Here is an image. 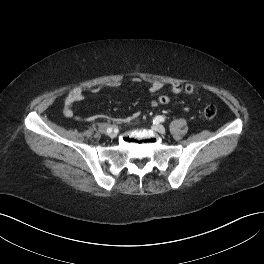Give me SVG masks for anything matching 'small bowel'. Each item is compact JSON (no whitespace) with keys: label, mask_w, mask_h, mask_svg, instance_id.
Returning <instances> with one entry per match:
<instances>
[{"label":"small bowel","mask_w":264,"mask_h":264,"mask_svg":"<svg viewBox=\"0 0 264 264\" xmlns=\"http://www.w3.org/2000/svg\"><path fill=\"white\" fill-rule=\"evenodd\" d=\"M134 83L140 82L139 78H134L133 79ZM121 85V82L119 80H113L110 81L106 86L110 88H117ZM163 88V83L160 81H153L149 84L148 86V91L150 93H157ZM91 91L93 93H96L100 90V87H92V88H83V87H75L71 89L64 101V108H63V114L67 118H75L79 120V118L74 116V106L82 102L84 100V92L85 91ZM171 91L175 94H178L183 91V86L181 84H173L171 85ZM158 105L157 101H152L150 103L151 107H155ZM139 112L134 114V117L138 116Z\"/></svg>","instance_id":"obj_1"}]
</instances>
